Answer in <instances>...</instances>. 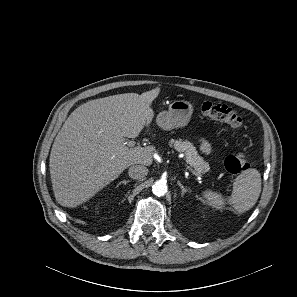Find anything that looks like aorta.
<instances>
[{
  "label": "aorta",
  "instance_id": "aorta-1",
  "mask_svg": "<svg viewBox=\"0 0 297 297\" xmlns=\"http://www.w3.org/2000/svg\"><path fill=\"white\" fill-rule=\"evenodd\" d=\"M153 194L160 197L164 196L167 192V184L163 180H157L152 186Z\"/></svg>",
  "mask_w": 297,
  "mask_h": 297
}]
</instances>
